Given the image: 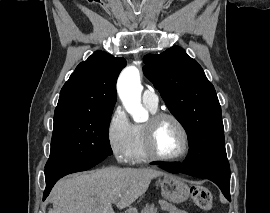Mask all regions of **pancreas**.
Listing matches in <instances>:
<instances>
[{
    "label": "pancreas",
    "mask_w": 270,
    "mask_h": 213,
    "mask_svg": "<svg viewBox=\"0 0 270 213\" xmlns=\"http://www.w3.org/2000/svg\"><path fill=\"white\" fill-rule=\"evenodd\" d=\"M141 213H158V208L153 204H147L146 207L141 211Z\"/></svg>",
    "instance_id": "1"
}]
</instances>
